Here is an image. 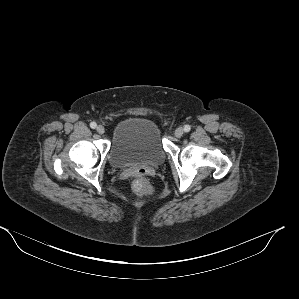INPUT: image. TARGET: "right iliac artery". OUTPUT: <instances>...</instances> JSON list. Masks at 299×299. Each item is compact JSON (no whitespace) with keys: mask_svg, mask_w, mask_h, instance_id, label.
Instances as JSON below:
<instances>
[{"mask_svg":"<svg viewBox=\"0 0 299 299\" xmlns=\"http://www.w3.org/2000/svg\"><path fill=\"white\" fill-rule=\"evenodd\" d=\"M96 126H97V124H96L95 122H91V123H90V127H91L92 129H95Z\"/></svg>","mask_w":299,"mask_h":299,"instance_id":"82829eb1","label":"right iliac artery"}]
</instances>
